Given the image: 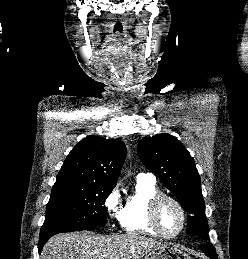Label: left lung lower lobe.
Here are the masks:
<instances>
[{
    "label": "left lung lower lobe",
    "instance_id": "0a47b994",
    "mask_svg": "<svg viewBox=\"0 0 248 259\" xmlns=\"http://www.w3.org/2000/svg\"><path fill=\"white\" fill-rule=\"evenodd\" d=\"M199 248L207 255L210 257V259H217L216 251L215 248L209 244H202L199 246Z\"/></svg>",
    "mask_w": 248,
    "mask_h": 259
}]
</instances>
